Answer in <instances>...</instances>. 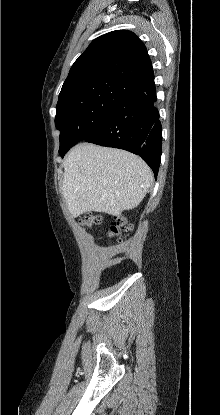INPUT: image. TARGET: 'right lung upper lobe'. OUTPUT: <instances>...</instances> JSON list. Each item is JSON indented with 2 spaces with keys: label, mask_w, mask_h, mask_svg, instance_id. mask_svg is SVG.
Instances as JSON below:
<instances>
[{
  "label": "right lung upper lobe",
  "mask_w": 220,
  "mask_h": 415,
  "mask_svg": "<svg viewBox=\"0 0 220 415\" xmlns=\"http://www.w3.org/2000/svg\"><path fill=\"white\" fill-rule=\"evenodd\" d=\"M98 78H118L137 87L154 78L146 47L133 32L117 30L93 40L72 65L62 90Z\"/></svg>",
  "instance_id": "obj_1"
}]
</instances>
